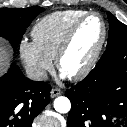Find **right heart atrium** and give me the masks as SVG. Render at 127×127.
<instances>
[{
	"instance_id": "right-heart-atrium-1",
	"label": "right heart atrium",
	"mask_w": 127,
	"mask_h": 127,
	"mask_svg": "<svg viewBox=\"0 0 127 127\" xmlns=\"http://www.w3.org/2000/svg\"><path fill=\"white\" fill-rule=\"evenodd\" d=\"M21 60L28 74L37 81L44 80L53 67L52 59L46 56L34 41L23 39L19 44Z\"/></svg>"
}]
</instances>
